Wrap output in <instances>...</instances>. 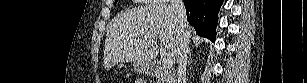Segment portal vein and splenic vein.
<instances>
[{
	"label": "portal vein and splenic vein",
	"instance_id": "18ae733b",
	"mask_svg": "<svg viewBox=\"0 0 307 83\" xmlns=\"http://www.w3.org/2000/svg\"><path fill=\"white\" fill-rule=\"evenodd\" d=\"M162 64L165 69H171L173 67V60L171 58H164Z\"/></svg>",
	"mask_w": 307,
	"mask_h": 83
}]
</instances>
